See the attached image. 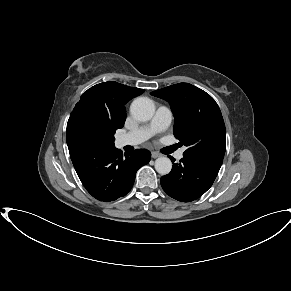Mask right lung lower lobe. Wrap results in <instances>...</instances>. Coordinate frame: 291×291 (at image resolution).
I'll return each mask as SVG.
<instances>
[{"label": "right lung lower lobe", "instance_id": "right-lung-lower-lobe-1", "mask_svg": "<svg viewBox=\"0 0 291 291\" xmlns=\"http://www.w3.org/2000/svg\"><path fill=\"white\" fill-rule=\"evenodd\" d=\"M67 145L71 160L86 190L96 199L114 201L132 188L137 170L149 163L151 153L138 149L125 153L115 146L70 138Z\"/></svg>", "mask_w": 291, "mask_h": 291}]
</instances>
